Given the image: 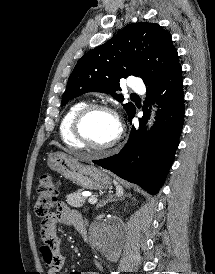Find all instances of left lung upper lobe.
Instances as JSON below:
<instances>
[{
    "instance_id": "left-lung-upper-lobe-1",
    "label": "left lung upper lobe",
    "mask_w": 215,
    "mask_h": 274,
    "mask_svg": "<svg viewBox=\"0 0 215 274\" xmlns=\"http://www.w3.org/2000/svg\"><path fill=\"white\" fill-rule=\"evenodd\" d=\"M178 66L177 50L169 32L156 23L129 24L79 59L68 79L61 106L91 91L109 93L122 102L121 78L138 76L147 85L159 81ZM123 107L128 116L135 110L131 102Z\"/></svg>"
}]
</instances>
